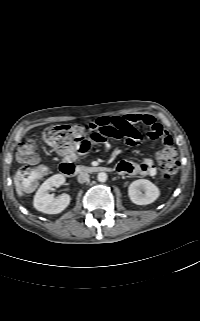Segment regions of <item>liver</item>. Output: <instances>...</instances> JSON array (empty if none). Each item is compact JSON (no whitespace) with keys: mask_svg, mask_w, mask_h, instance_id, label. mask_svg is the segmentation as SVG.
Here are the masks:
<instances>
[{"mask_svg":"<svg viewBox=\"0 0 200 321\" xmlns=\"http://www.w3.org/2000/svg\"><path fill=\"white\" fill-rule=\"evenodd\" d=\"M19 177L17 175L14 176V184H15V187H16V192L18 194L19 197H22L23 196V192H22V187H21V184H20V181H19Z\"/></svg>","mask_w":200,"mask_h":321,"instance_id":"6515ba94","label":"liver"}]
</instances>
